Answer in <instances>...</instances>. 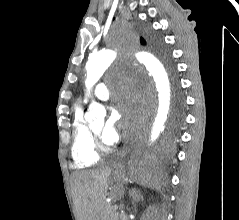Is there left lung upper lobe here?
<instances>
[{"mask_svg": "<svg viewBox=\"0 0 239 220\" xmlns=\"http://www.w3.org/2000/svg\"><path fill=\"white\" fill-rule=\"evenodd\" d=\"M152 43L158 47L160 50H161V53L162 55L168 59V54L165 52V50H163L162 46H161V43H160V40L154 36H152ZM141 43L142 44H145V40L143 38H141ZM169 60V59H168ZM173 70V68H172ZM174 71V70H173ZM181 106H182V100H181V97L178 96V99H177V108H178V111H177V116H176V122H179L180 119H181V115H180V110H181Z\"/></svg>", "mask_w": 239, "mask_h": 220, "instance_id": "obj_1", "label": "left lung upper lobe"}]
</instances>
